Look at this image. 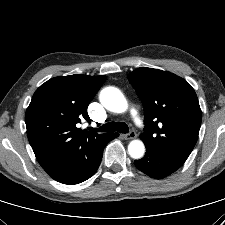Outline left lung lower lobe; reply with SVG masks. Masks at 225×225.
Listing matches in <instances>:
<instances>
[{"label":"left lung lower lobe","instance_id":"1","mask_svg":"<svg viewBox=\"0 0 225 225\" xmlns=\"http://www.w3.org/2000/svg\"><path fill=\"white\" fill-rule=\"evenodd\" d=\"M183 163V161L150 146H146V155L134 162L140 171L155 179L167 177L179 169Z\"/></svg>","mask_w":225,"mask_h":225}]
</instances>
